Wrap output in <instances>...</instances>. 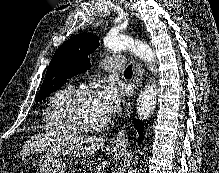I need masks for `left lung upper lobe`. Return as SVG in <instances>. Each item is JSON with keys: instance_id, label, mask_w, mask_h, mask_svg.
Segmentation results:
<instances>
[{"instance_id": "left-lung-upper-lobe-1", "label": "left lung upper lobe", "mask_w": 219, "mask_h": 173, "mask_svg": "<svg viewBox=\"0 0 219 173\" xmlns=\"http://www.w3.org/2000/svg\"><path fill=\"white\" fill-rule=\"evenodd\" d=\"M99 45L92 33H81L66 41L53 55L35 102L41 101L63 86L64 82L90 67L88 54Z\"/></svg>"}]
</instances>
